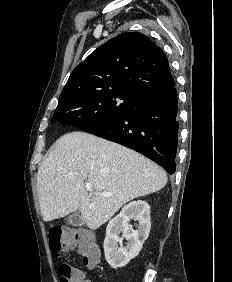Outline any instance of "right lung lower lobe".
Wrapping results in <instances>:
<instances>
[{"label":"right lung lower lobe","mask_w":232,"mask_h":282,"mask_svg":"<svg viewBox=\"0 0 232 282\" xmlns=\"http://www.w3.org/2000/svg\"><path fill=\"white\" fill-rule=\"evenodd\" d=\"M177 102L174 83L145 95L133 110L82 130L131 148L173 174L179 127Z\"/></svg>","instance_id":"1"}]
</instances>
